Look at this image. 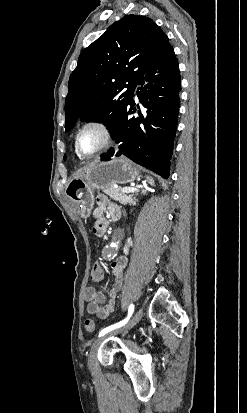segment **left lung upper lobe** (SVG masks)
<instances>
[{
  "label": "left lung upper lobe",
  "mask_w": 247,
  "mask_h": 413,
  "mask_svg": "<svg viewBox=\"0 0 247 413\" xmlns=\"http://www.w3.org/2000/svg\"><path fill=\"white\" fill-rule=\"evenodd\" d=\"M170 47L168 37L148 17L126 15L113 23L82 51L70 75L65 101L67 131L81 119L102 122L113 135L137 81Z\"/></svg>",
  "instance_id": "5c2ea615"
}]
</instances>
